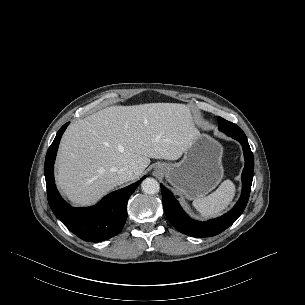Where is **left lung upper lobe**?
Here are the masks:
<instances>
[{"label": "left lung upper lobe", "instance_id": "left-lung-upper-lobe-1", "mask_svg": "<svg viewBox=\"0 0 305 305\" xmlns=\"http://www.w3.org/2000/svg\"><path fill=\"white\" fill-rule=\"evenodd\" d=\"M219 130L223 131L229 136L246 137L244 132L236 124L231 123L221 117H219Z\"/></svg>", "mask_w": 305, "mask_h": 305}]
</instances>
